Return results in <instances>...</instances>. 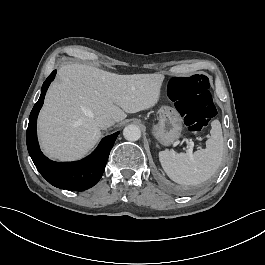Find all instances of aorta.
I'll return each instance as SVG.
<instances>
[{"label":"aorta","instance_id":"762f6f07","mask_svg":"<svg viewBox=\"0 0 265 265\" xmlns=\"http://www.w3.org/2000/svg\"><path fill=\"white\" fill-rule=\"evenodd\" d=\"M123 136L128 141H138L141 137V131L137 126L128 125L123 130Z\"/></svg>","mask_w":265,"mask_h":265}]
</instances>
